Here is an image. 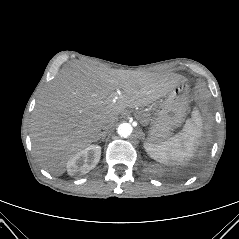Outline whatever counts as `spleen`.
Wrapping results in <instances>:
<instances>
[{"label":"spleen","mask_w":239,"mask_h":239,"mask_svg":"<svg viewBox=\"0 0 239 239\" xmlns=\"http://www.w3.org/2000/svg\"><path fill=\"white\" fill-rule=\"evenodd\" d=\"M202 134V118L197 109L181 132L170 139L159 142H145L144 148L151 158L163 164H177L188 161L194 154L198 138Z\"/></svg>","instance_id":"1"}]
</instances>
